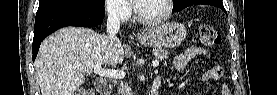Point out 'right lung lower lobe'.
Returning a JSON list of instances; mask_svg holds the SVG:
<instances>
[{
  "label": "right lung lower lobe",
  "instance_id": "98d812e1",
  "mask_svg": "<svg viewBox=\"0 0 277 95\" xmlns=\"http://www.w3.org/2000/svg\"><path fill=\"white\" fill-rule=\"evenodd\" d=\"M104 16V8L94 11H53L36 15L32 44L33 61L41 42L49 34L66 26L94 27L103 20Z\"/></svg>",
  "mask_w": 277,
  "mask_h": 95
}]
</instances>
